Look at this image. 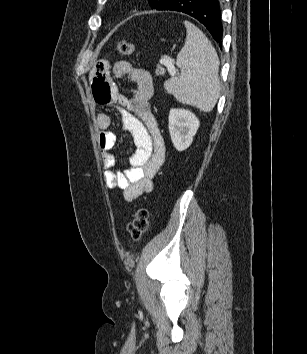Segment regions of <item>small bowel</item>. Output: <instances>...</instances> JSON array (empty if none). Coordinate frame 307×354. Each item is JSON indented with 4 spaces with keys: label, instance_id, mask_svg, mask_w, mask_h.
<instances>
[{
    "label": "small bowel",
    "instance_id": "c3829d8e",
    "mask_svg": "<svg viewBox=\"0 0 307 354\" xmlns=\"http://www.w3.org/2000/svg\"><path fill=\"white\" fill-rule=\"evenodd\" d=\"M110 63L107 59L96 62L92 71V93L100 106L116 105L119 127L131 134L135 152L129 159L124 172L114 169L115 157L112 149L116 142L110 131L111 118L106 113L97 115L99 146L103 162L104 179L109 188L121 189L124 199L132 202L139 196L151 192L153 178L165 160V143L158 123L152 112L150 101L155 94L151 74L134 67L126 61H118L113 66V74L120 79H129L137 88L130 97L121 94L109 78Z\"/></svg>",
    "mask_w": 307,
    "mask_h": 354
}]
</instances>
